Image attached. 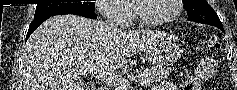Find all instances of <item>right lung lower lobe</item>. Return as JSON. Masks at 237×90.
Returning a JSON list of instances; mask_svg holds the SVG:
<instances>
[{
  "label": "right lung lower lobe",
  "mask_w": 237,
  "mask_h": 90,
  "mask_svg": "<svg viewBox=\"0 0 237 90\" xmlns=\"http://www.w3.org/2000/svg\"><path fill=\"white\" fill-rule=\"evenodd\" d=\"M61 14H75V15H80V16H84L87 18H91V19H96L97 16L94 13V11H88V10H83V9H73V10H67V11H63V12H59V13H55L52 15H48L45 17H41V18H37L34 19L28 29L27 32V36H26V40L29 38V36L31 35V33L39 26L41 25V23H43L45 20H47L48 18H50L51 16H55V15H61Z\"/></svg>",
  "instance_id": "obj_1"
}]
</instances>
